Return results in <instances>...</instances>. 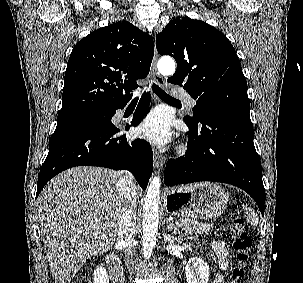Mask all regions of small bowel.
<instances>
[{
  "label": "small bowel",
  "instance_id": "obj_1",
  "mask_svg": "<svg viewBox=\"0 0 303 283\" xmlns=\"http://www.w3.org/2000/svg\"><path fill=\"white\" fill-rule=\"evenodd\" d=\"M210 256L213 260L219 263L222 269L229 267V257L225 245L221 241H215L212 243L210 248ZM212 283H224V278L220 275L214 277Z\"/></svg>",
  "mask_w": 303,
  "mask_h": 283
}]
</instances>
